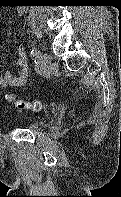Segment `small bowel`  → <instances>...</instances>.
I'll list each match as a JSON object with an SVG mask.
<instances>
[{
  "label": "small bowel",
  "mask_w": 121,
  "mask_h": 197,
  "mask_svg": "<svg viewBox=\"0 0 121 197\" xmlns=\"http://www.w3.org/2000/svg\"><path fill=\"white\" fill-rule=\"evenodd\" d=\"M16 63L19 68V73L16 76H12L9 72L0 75L1 88L22 87L27 83L30 76V68L26 53L21 47H17L16 49Z\"/></svg>",
  "instance_id": "c3829d8e"
}]
</instances>
